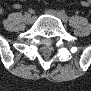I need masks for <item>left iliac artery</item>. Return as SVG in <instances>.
I'll list each match as a JSON object with an SVG mask.
<instances>
[{
  "instance_id": "obj_1",
  "label": "left iliac artery",
  "mask_w": 91,
  "mask_h": 91,
  "mask_svg": "<svg viewBox=\"0 0 91 91\" xmlns=\"http://www.w3.org/2000/svg\"><path fill=\"white\" fill-rule=\"evenodd\" d=\"M59 14L63 20H65V21L68 20V16L63 10L59 11Z\"/></svg>"
}]
</instances>
